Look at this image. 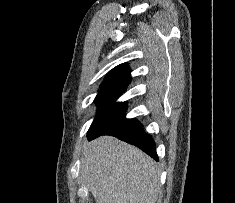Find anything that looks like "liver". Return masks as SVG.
<instances>
[{
  "label": "liver",
  "mask_w": 235,
  "mask_h": 203,
  "mask_svg": "<svg viewBox=\"0 0 235 203\" xmlns=\"http://www.w3.org/2000/svg\"><path fill=\"white\" fill-rule=\"evenodd\" d=\"M80 174L99 203H156L160 170L135 146L101 136L84 147Z\"/></svg>",
  "instance_id": "1"
}]
</instances>
